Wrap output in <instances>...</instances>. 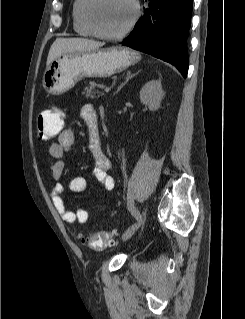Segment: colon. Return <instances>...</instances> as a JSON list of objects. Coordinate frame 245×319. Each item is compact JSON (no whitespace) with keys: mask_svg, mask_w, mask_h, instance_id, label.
<instances>
[{"mask_svg":"<svg viewBox=\"0 0 245 319\" xmlns=\"http://www.w3.org/2000/svg\"><path fill=\"white\" fill-rule=\"evenodd\" d=\"M64 127V115L58 109L46 110L37 118V128L40 137L44 140H51L57 137ZM113 233L95 232L82 235V242L89 248L104 249L113 244Z\"/></svg>","mask_w":245,"mask_h":319,"instance_id":"colon-1","label":"colon"}]
</instances>
